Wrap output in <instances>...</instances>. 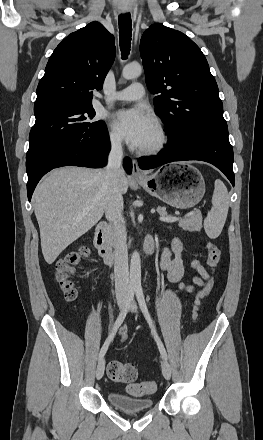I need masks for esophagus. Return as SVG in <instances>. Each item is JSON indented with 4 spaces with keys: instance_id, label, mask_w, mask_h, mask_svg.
I'll return each instance as SVG.
<instances>
[{
    "instance_id": "34e87169",
    "label": "esophagus",
    "mask_w": 263,
    "mask_h": 440,
    "mask_svg": "<svg viewBox=\"0 0 263 440\" xmlns=\"http://www.w3.org/2000/svg\"><path fill=\"white\" fill-rule=\"evenodd\" d=\"M132 166H133V168H132V177L134 179L144 178L145 174L139 168V165H138L136 160L132 161Z\"/></svg>"
}]
</instances>
